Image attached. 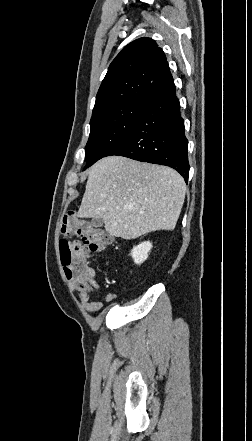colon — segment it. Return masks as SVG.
I'll return each mask as SVG.
<instances>
[{"label": "colon", "instance_id": "colon-1", "mask_svg": "<svg viewBox=\"0 0 252 441\" xmlns=\"http://www.w3.org/2000/svg\"><path fill=\"white\" fill-rule=\"evenodd\" d=\"M62 232L76 235L81 241L62 239L59 242L61 262L66 277L72 282H80L85 276L86 252H102L110 243V237L101 228L89 221L79 219L69 212L63 220Z\"/></svg>", "mask_w": 252, "mask_h": 441}]
</instances>
